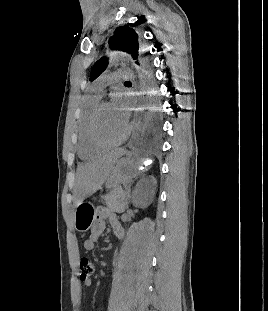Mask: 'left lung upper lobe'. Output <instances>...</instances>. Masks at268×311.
Segmentation results:
<instances>
[{
    "label": "left lung upper lobe",
    "mask_w": 268,
    "mask_h": 311,
    "mask_svg": "<svg viewBox=\"0 0 268 311\" xmlns=\"http://www.w3.org/2000/svg\"><path fill=\"white\" fill-rule=\"evenodd\" d=\"M110 48L128 53L137 65H140L142 56L139 54L138 34L128 26L118 27L109 39ZM106 57L99 59L93 66L90 81L95 80L107 68Z\"/></svg>",
    "instance_id": "left-lung-upper-lobe-1"
}]
</instances>
